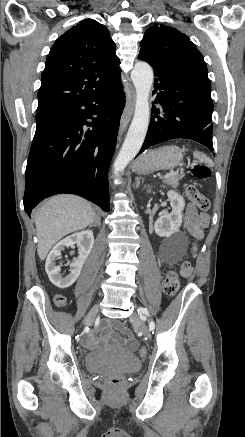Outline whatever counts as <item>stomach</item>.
<instances>
[{
  "label": "stomach",
  "instance_id": "obj_1",
  "mask_svg": "<svg viewBox=\"0 0 245 437\" xmlns=\"http://www.w3.org/2000/svg\"><path fill=\"white\" fill-rule=\"evenodd\" d=\"M183 158L182 151L176 146H164L150 150L141 155L134 163L133 170L137 174L171 169L178 166Z\"/></svg>",
  "mask_w": 245,
  "mask_h": 437
}]
</instances>
